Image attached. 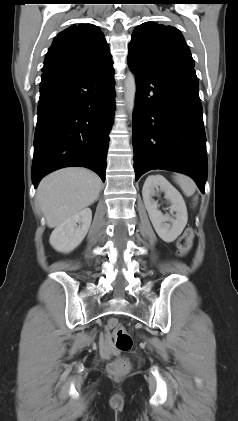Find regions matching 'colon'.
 Returning <instances> with one entry per match:
<instances>
[{"label": "colon", "instance_id": "colon-1", "mask_svg": "<svg viewBox=\"0 0 238 421\" xmlns=\"http://www.w3.org/2000/svg\"><path fill=\"white\" fill-rule=\"evenodd\" d=\"M193 230L188 228L180 236L177 242L178 254L184 256L192 246ZM109 334H111L115 347L121 352L131 350L133 341L125 327L116 319H111L108 323ZM129 363L125 358H118L109 365V372L113 375H122L127 372Z\"/></svg>", "mask_w": 238, "mask_h": 421}]
</instances>
